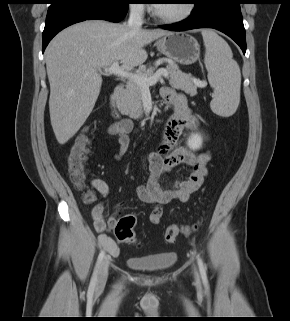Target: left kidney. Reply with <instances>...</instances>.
<instances>
[{"instance_id":"obj_1","label":"left kidney","mask_w":290,"mask_h":321,"mask_svg":"<svg viewBox=\"0 0 290 321\" xmlns=\"http://www.w3.org/2000/svg\"><path fill=\"white\" fill-rule=\"evenodd\" d=\"M203 139L199 133H191L187 139V145L191 150H198L202 147Z\"/></svg>"}]
</instances>
